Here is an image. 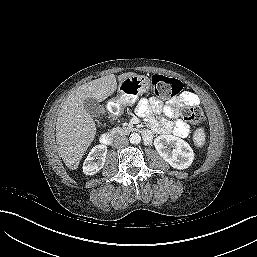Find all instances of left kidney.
<instances>
[{
    "instance_id": "5707ae66",
    "label": "left kidney",
    "mask_w": 257,
    "mask_h": 257,
    "mask_svg": "<svg viewBox=\"0 0 257 257\" xmlns=\"http://www.w3.org/2000/svg\"><path fill=\"white\" fill-rule=\"evenodd\" d=\"M154 146L159 155L173 168H188L194 160L191 146L183 139L173 135H160L155 138ZM168 146L173 147L171 150Z\"/></svg>"
}]
</instances>
